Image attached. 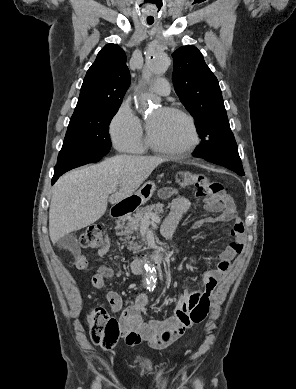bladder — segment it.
I'll return each mask as SVG.
<instances>
[{
    "instance_id": "obj_1",
    "label": "bladder",
    "mask_w": 296,
    "mask_h": 389,
    "mask_svg": "<svg viewBox=\"0 0 296 389\" xmlns=\"http://www.w3.org/2000/svg\"><path fill=\"white\" fill-rule=\"evenodd\" d=\"M129 366L133 371L141 373L152 369L151 361L140 354H136L132 357Z\"/></svg>"
}]
</instances>
